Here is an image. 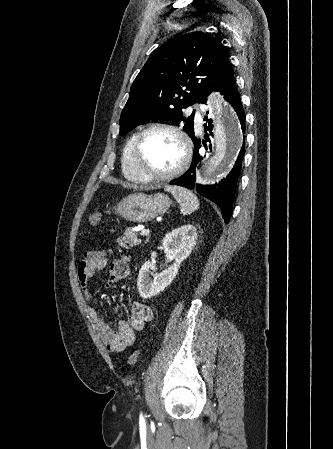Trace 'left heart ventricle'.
<instances>
[{"label":"left heart ventricle","instance_id":"obj_1","mask_svg":"<svg viewBox=\"0 0 333 449\" xmlns=\"http://www.w3.org/2000/svg\"><path fill=\"white\" fill-rule=\"evenodd\" d=\"M182 148L176 137L162 130L150 132L141 146V166L147 173L164 174L181 161Z\"/></svg>","mask_w":333,"mask_h":449}]
</instances>
